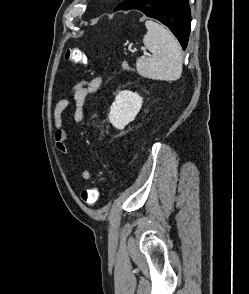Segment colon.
<instances>
[{
	"label": "colon",
	"mask_w": 249,
	"mask_h": 294,
	"mask_svg": "<svg viewBox=\"0 0 249 294\" xmlns=\"http://www.w3.org/2000/svg\"><path fill=\"white\" fill-rule=\"evenodd\" d=\"M65 58L73 64H85L86 57L84 52L79 48H68L66 50ZM99 197V190L96 187L88 188L82 191L81 199L87 205L94 204Z\"/></svg>",
	"instance_id": "colon-1"
}]
</instances>
